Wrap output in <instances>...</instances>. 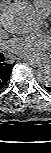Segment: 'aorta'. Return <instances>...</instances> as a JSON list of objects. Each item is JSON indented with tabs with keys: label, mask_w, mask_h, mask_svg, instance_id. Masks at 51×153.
Here are the masks:
<instances>
[{
	"label": "aorta",
	"mask_w": 51,
	"mask_h": 153,
	"mask_svg": "<svg viewBox=\"0 0 51 153\" xmlns=\"http://www.w3.org/2000/svg\"><path fill=\"white\" fill-rule=\"evenodd\" d=\"M3 24L7 31L13 34L28 35L36 31L39 19L34 7L27 1H17L9 6L3 14ZM39 83L50 86L51 66L44 64L36 70Z\"/></svg>",
	"instance_id": "1"
}]
</instances>
